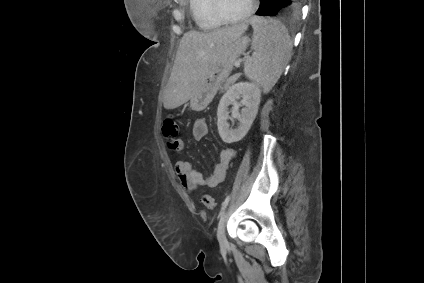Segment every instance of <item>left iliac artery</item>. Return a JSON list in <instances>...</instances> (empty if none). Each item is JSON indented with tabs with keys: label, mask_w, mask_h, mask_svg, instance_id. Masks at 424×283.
Returning a JSON list of instances; mask_svg holds the SVG:
<instances>
[{
	"label": "left iliac artery",
	"mask_w": 424,
	"mask_h": 283,
	"mask_svg": "<svg viewBox=\"0 0 424 283\" xmlns=\"http://www.w3.org/2000/svg\"><path fill=\"white\" fill-rule=\"evenodd\" d=\"M229 200H230V195H228V196L225 198L224 202L222 203V210H224V209L226 208V206H227V205H228V203H229Z\"/></svg>",
	"instance_id": "44dca946"
}]
</instances>
